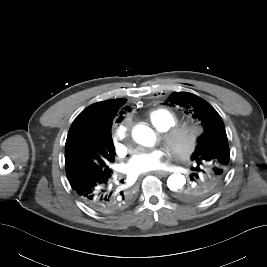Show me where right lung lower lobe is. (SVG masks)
Instances as JSON below:
<instances>
[{
    "mask_svg": "<svg viewBox=\"0 0 267 267\" xmlns=\"http://www.w3.org/2000/svg\"><path fill=\"white\" fill-rule=\"evenodd\" d=\"M69 183L84 203L102 213L120 212L134 199L133 190L113 186L112 171L107 174H82Z\"/></svg>",
    "mask_w": 267,
    "mask_h": 267,
    "instance_id": "98d812e1",
    "label": "right lung lower lobe"
}]
</instances>
